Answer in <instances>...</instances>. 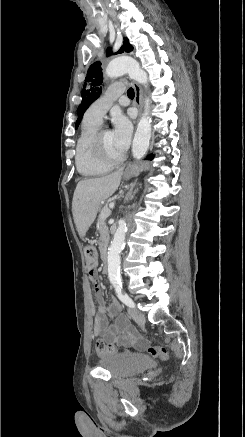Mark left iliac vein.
I'll list each match as a JSON object with an SVG mask.
<instances>
[{
    "label": "left iliac vein",
    "instance_id": "left-iliac-vein-1",
    "mask_svg": "<svg viewBox=\"0 0 245 437\" xmlns=\"http://www.w3.org/2000/svg\"><path fill=\"white\" fill-rule=\"evenodd\" d=\"M128 312L130 314V316L133 318V320L138 323V324H144L145 322V317L143 314H141L140 312H138L135 308L130 307L128 309Z\"/></svg>",
    "mask_w": 245,
    "mask_h": 437
}]
</instances>
